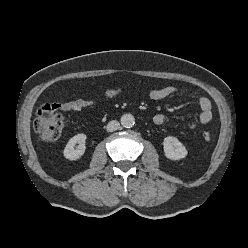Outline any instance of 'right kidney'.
<instances>
[{
	"mask_svg": "<svg viewBox=\"0 0 248 248\" xmlns=\"http://www.w3.org/2000/svg\"><path fill=\"white\" fill-rule=\"evenodd\" d=\"M86 139L87 136L83 133L73 136L64 148V157L69 160H77L83 156L86 149ZM76 144H78V146L75 149Z\"/></svg>",
	"mask_w": 248,
	"mask_h": 248,
	"instance_id": "ca27d5eb",
	"label": "right kidney"
}]
</instances>
